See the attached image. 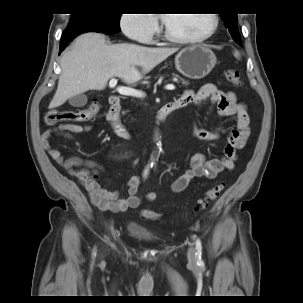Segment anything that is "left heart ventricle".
I'll list each match as a JSON object with an SVG mask.
<instances>
[{
    "mask_svg": "<svg viewBox=\"0 0 303 303\" xmlns=\"http://www.w3.org/2000/svg\"><path fill=\"white\" fill-rule=\"evenodd\" d=\"M166 25L170 31L182 37L204 34L212 25L210 14H166Z\"/></svg>",
    "mask_w": 303,
    "mask_h": 303,
    "instance_id": "b2bd125f",
    "label": "left heart ventricle"
}]
</instances>
